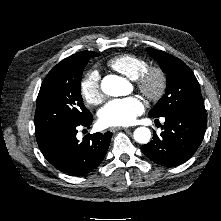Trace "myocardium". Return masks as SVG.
<instances>
[{
    "label": "myocardium",
    "mask_w": 221,
    "mask_h": 221,
    "mask_svg": "<svg viewBox=\"0 0 221 221\" xmlns=\"http://www.w3.org/2000/svg\"><path fill=\"white\" fill-rule=\"evenodd\" d=\"M135 82L140 92L151 101H158L164 96L168 83L166 73L158 66L148 67Z\"/></svg>",
    "instance_id": "1"
}]
</instances>
